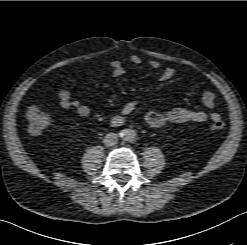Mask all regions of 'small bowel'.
<instances>
[{
    "label": "small bowel",
    "instance_id": "obj_1",
    "mask_svg": "<svg viewBox=\"0 0 247 245\" xmlns=\"http://www.w3.org/2000/svg\"><path fill=\"white\" fill-rule=\"evenodd\" d=\"M130 62L133 65H140L142 63V58L138 55H133L130 57ZM149 66L153 69L160 68V62L158 60L152 59L148 62ZM110 68L114 76L122 77L126 74V69L123 64L114 60L110 62ZM175 75V69L172 67H166L162 70L161 80L168 81L172 79ZM58 97L60 100V105L62 108L67 110H73L80 117H88L91 113L90 108L80 102L79 100H74L72 94L67 89H60L58 92ZM202 102L205 107L213 110L216 106V95L212 91H206L202 95ZM139 98H132L126 101L120 112L113 117V124H118L126 116L130 115L138 106ZM221 119L220 115L211 111L209 113L202 110H193L188 108H174L168 111H149L145 114L146 123L154 128L162 127L168 123H202L207 120L216 121Z\"/></svg>",
    "mask_w": 247,
    "mask_h": 245
}]
</instances>
